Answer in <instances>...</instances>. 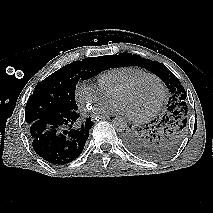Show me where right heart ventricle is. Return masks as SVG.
Returning <instances> with one entry per match:
<instances>
[{
    "mask_svg": "<svg viewBox=\"0 0 213 213\" xmlns=\"http://www.w3.org/2000/svg\"><path fill=\"white\" fill-rule=\"evenodd\" d=\"M148 72L137 66H120L101 73L97 80L99 86L110 96L114 91L137 76Z\"/></svg>",
    "mask_w": 213,
    "mask_h": 213,
    "instance_id": "e07e8e85",
    "label": "right heart ventricle"
}]
</instances>
